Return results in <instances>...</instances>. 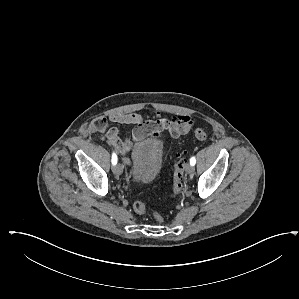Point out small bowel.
I'll list each match as a JSON object with an SVG mask.
<instances>
[{
	"mask_svg": "<svg viewBox=\"0 0 299 299\" xmlns=\"http://www.w3.org/2000/svg\"><path fill=\"white\" fill-rule=\"evenodd\" d=\"M109 120L117 124L135 125L130 137L121 138L117 127H111L107 132V140L122 156L124 162L129 164V153L132 143L141 141L145 138H151L162 145L165 133L174 139H178L188 134L196 124V118L192 115L183 114L172 116L170 118L158 115V120L143 123L140 114L137 113H115L110 115Z\"/></svg>",
	"mask_w": 299,
	"mask_h": 299,
	"instance_id": "c3829d8e",
	"label": "small bowel"
}]
</instances>
